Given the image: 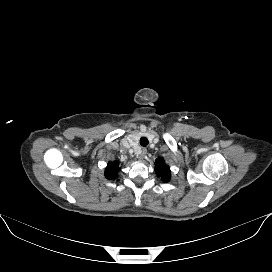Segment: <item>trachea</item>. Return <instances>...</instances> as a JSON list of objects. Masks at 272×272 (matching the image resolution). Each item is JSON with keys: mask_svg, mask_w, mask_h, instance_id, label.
Returning a JSON list of instances; mask_svg holds the SVG:
<instances>
[{"mask_svg": "<svg viewBox=\"0 0 272 272\" xmlns=\"http://www.w3.org/2000/svg\"><path fill=\"white\" fill-rule=\"evenodd\" d=\"M148 139L146 137H142L140 139V145L143 146V147H146L148 145Z\"/></svg>", "mask_w": 272, "mask_h": 272, "instance_id": "3493384b", "label": "trachea"}]
</instances>
